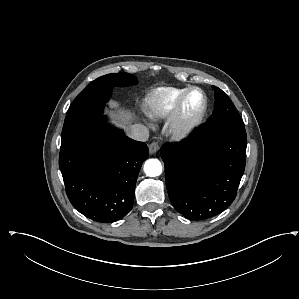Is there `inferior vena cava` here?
Segmentation results:
<instances>
[{"instance_id": "602c4592", "label": "inferior vena cava", "mask_w": 299, "mask_h": 299, "mask_svg": "<svg viewBox=\"0 0 299 299\" xmlns=\"http://www.w3.org/2000/svg\"><path fill=\"white\" fill-rule=\"evenodd\" d=\"M128 136L137 141H147L149 130L142 124H134L129 127Z\"/></svg>"}]
</instances>
